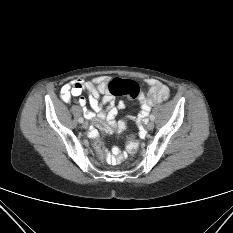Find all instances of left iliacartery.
<instances>
[{
  "label": "left iliac artery",
  "mask_w": 233,
  "mask_h": 233,
  "mask_svg": "<svg viewBox=\"0 0 233 233\" xmlns=\"http://www.w3.org/2000/svg\"><path fill=\"white\" fill-rule=\"evenodd\" d=\"M149 118H150L151 120H154V116H153V115H150Z\"/></svg>",
  "instance_id": "44dca946"
}]
</instances>
